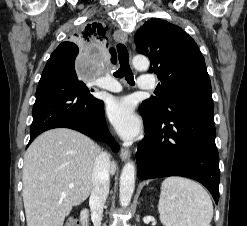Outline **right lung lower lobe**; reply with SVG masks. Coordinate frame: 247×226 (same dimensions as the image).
Here are the masks:
<instances>
[{"instance_id": "right-lung-lower-lobe-1", "label": "right lung lower lobe", "mask_w": 247, "mask_h": 226, "mask_svg": "<svg viewBox=\"0 0 247 226\" xmlns=\"http://www.w3.org/2000/svg\"><path fill=\"white\" fill-rule=\"evenodd\" d=\"M76 56L67 50H55L47 61L36 91L29 144L46 130L65 127L107 141L117 152L119 146L109 135L103 101L77 78Z\"/></svg>"}]
</instances>
